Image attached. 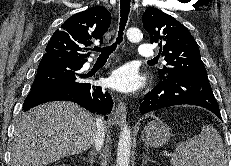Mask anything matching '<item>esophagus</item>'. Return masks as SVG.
Here are the masks:
<instances>
[{"label":"esophagus","instance_id":"obj_1","mask_svg":"<svg viewBox=\"0 0 231 166\" xmlns=\"http://www.w3.org/2000/svg\"><path fill=\"white\" fill-rule=\"evenodd\" d=\"M114 121L119 127L123 126L126 122V105L123 101L119 100L114 112Z\"/></svg>","mask_w":231,"mask_h":166}]
</instances>
